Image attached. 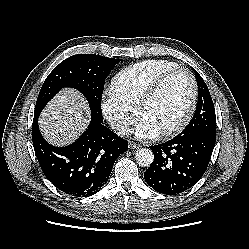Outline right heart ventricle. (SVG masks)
<instances>
[{"label": "right heart ventricle", "instance_id": "obj_1", "mask_svg": "<svg viewBox=\"0 0 249 249\" xmlns=\"http://www.w3.org/2000/svg\"><path fill=\"white\" fill-rule=\"evenodd\" d=\"M176 66L177 63L165 59H149L132 64L115 74L111 91L137 109L142 96L153 81L163 72Z\"/></svg>", "mask_w": 249, "mask_h": 249}]
</instances>
